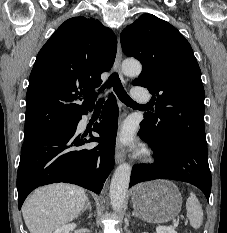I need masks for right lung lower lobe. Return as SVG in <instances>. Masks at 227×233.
Returning a JSON list of instances; mask_svg holds the SVG:
<instances>
[{
  "mask_svg": "<svg viewBox=\"0 0 227 233\" xmlns=\"http://www.w3.org/2000/svg\"><path fill=\"white\" fill-rule=\"evenodd\" d=\"M81 116L63 126L24 139L17 172L19 209L31 191L51 183H72L100 193L114 167L118 118L115 97L110 95L100 123L92 129L100 135L99 138L94 137L91 131L89 135L76 132ZM94 141L100 144L94 148L84 147Z\"/></svg>",
  "mask_w": 227,
  "mask_h": 233,
  "instance_id": "1",
  "label": "right lung lower lobe"
}]
</instances>
